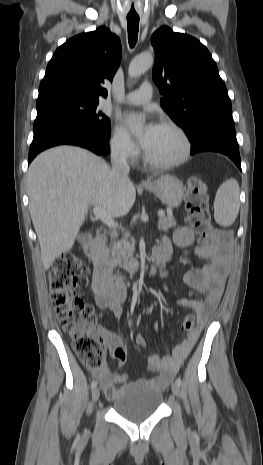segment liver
Masks as SVG:
<instances>
[{
    "label": "liver",
    "mask_w": 263,
    "mask_h": 465,
    "mask_svg": "<svg viewBox=\"0 0 263 465\" xmlns=\"http://www.w3.org/2000/svg\"><path fill=\"white\" fill-rule=\"evenodd\" d=\"M29 209L45 270L69 251L90 205L112 217L134 205V184L118 182L107 163L88 150L59 146L39 154L27 173Z\"/></svg>",
    "instance_id": "obj_1"
}]
</instances>
